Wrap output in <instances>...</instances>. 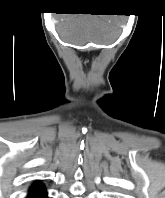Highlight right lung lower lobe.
<instances>
[{"instance_id": "obj_1", "label": "right lung lower lobe", "mask_w": 165, "mask_h": 198, "mask_svg": "<svg viewBox=\"0 0 165 198\" xmlns=\"http://www.w3.org/2000/svg\"><path fill=\"white\" fill-rule=\"evenodd\" d=\"M27 198H48L45 187L43 186L38 189L29 191Z\"/></svg>"}]
</instances>
